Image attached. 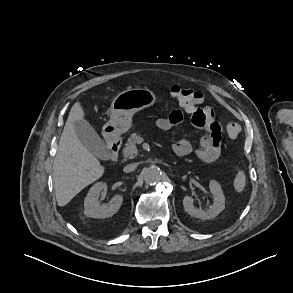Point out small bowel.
Returning <instances> with one entry per match:
<instances>
[{
    "instance_id": "small-bowel-1",
    "label": "small bowel",
    "mask_w": 293,
    "mask_h": 293,
    "mask_svg": "<svg viewBox=\"0 0 293 293\" xmlns=\"http://www.w3.org/2000/svg\"><path fill=\"white\" fill-rule=\"evenodd\" d=\"M202 97V96H201ZM200 115L194 116L192 112V124L195 128L203 130L200 146L195 150L196 156L206 163L215 161L220 155L221 127L216 120L212 108L198 107ZM186 111V110H185ZM187 112V111H186ZM183 112L180 109L173 110L167 118H159L155 125L161 130H170L180 125ZM178 155H188L194 151L192 144L186 139H180L173 147Z\"/></svg>"
}]
</instances>
